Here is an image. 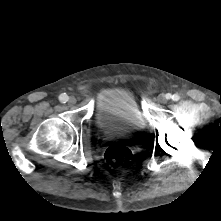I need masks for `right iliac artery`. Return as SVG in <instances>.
I'll return each mask as SVG.
<instances>
[{"instance_id": "1", "label": "right iliac artery", "mask_w": 221, "mask_h": 221, "mask_svg": "<svg viewBox=\"0 0 221 221\" xmlns=\"http://www.w3.org/2000/svg\"><path fill=\"white\" fill-rule=\"evenodd\" d=\"M59 100L61 103H66L68 101V96L66 93H62L60 96H59Z\"/></svg>"}]
</instances>
